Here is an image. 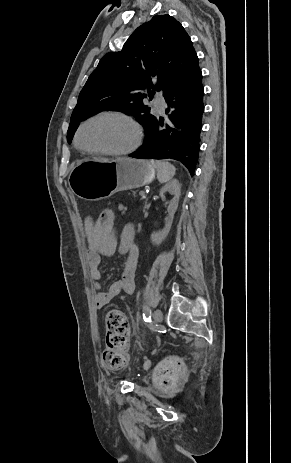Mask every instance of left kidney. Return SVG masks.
Wrapping results in <instances>:
<instances>
[{"instance_id": "5707ae66", "label": "left kidney", "mask_w": 291, "mask_h": 463, "mask_svg": "<svg viewBox=\"0 0 291 463\" xmlns=\"http://www.w3.org/2000/svg\"><path fill=\"white\" fill-rule=\"evenodd\" d=\"M169 192L171 195H173V199L169 202L167 211L169 213V219L168 222L166 223L165 227L158 231V232H153L151 234V241L155 245H160L168 236L171 225L173 222L174 214L177 211L178 208V202L179 198L181 195V186L178 180L174 179L164 185L162 189L160 190V197L163 201H165V193Z\"/></svg>"}]
</instances>
